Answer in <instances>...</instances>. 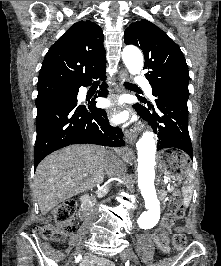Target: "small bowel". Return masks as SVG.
Returning a JSON list of instances; mask_svg holds the SVG:
<instances>
[{
	"label": "small bowel",
	"instance_id": "c3829d8e",
	"mask_svg": "<svg viewBox=\"0 0 221 266\" xmlns=\"http://www.w3.org/2000/svg\"><path fill=\"white\" fill-rule=\"evenodd\" d=\"M178 231H180L181 229L178 228ZM152 239L155 241L156 245L158 246V248L163 252V253H167L169 251V247L167 245V242L165 243H161L157 236L152 235ZM86 266H115L114 263L112 261H110L109 259L106 258H89L86 261Z\"/></svg>",
	"mask_w": 221,
	"mask_h": 266
}]
</instances>
